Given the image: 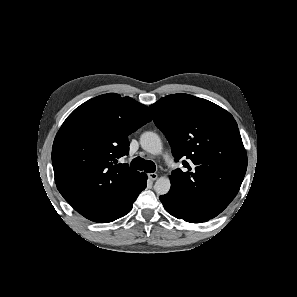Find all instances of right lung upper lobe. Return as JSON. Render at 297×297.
Instances as JSON below:
<instances>
[{
    "label": "right lung upper lobe",
    "mask_w": 297,
    "mask_h": 297,
    "mask_svg": "<svg viewBox=\"0 0 297 297\" xmlns=\"http://www.w3.org/2000/svg\"><path fill=\"white\" fill-rule=\"evenodd\" d=\"M151 120L145 105L108 93L83 103L64 121L52 148L55 182L85 218L98 222L138 177L118 159L129 152L128 135Z\"/></svg>",
    "instance_id": "1"
}]
</instances>
